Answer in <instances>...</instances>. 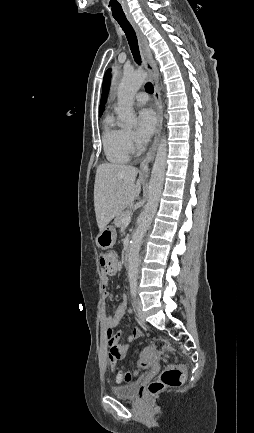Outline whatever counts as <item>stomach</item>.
I'll use <instances>...</instances> for the list:
<instances>
[{
	"label": "stomach",
	"instance_id": "obj_1",
	"mask_svg": "<svg viewBox=\"0 0 254 433\" xmlns=\"http://www.w3.org/2000/svg\"><path fill=\"white\" fill-rule=\"evenodd\" d=\"M116 241V230L113 226H107L100 231L96 238L97 246L101 249L112 247Z\"/></svg>",
	"mask_w": 254,
	"mask_h": 433
}]
</instances>
